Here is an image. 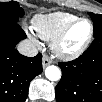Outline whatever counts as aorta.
Instances as JSON below:
<instances>
[{"label": "aorta", "mask_w": 102, "mask_h": 102, "mask_svg": "<svg viewBox=\"0 0 102 102\" xmlns=\"http://www.w3.org/2000/svg\"><path fill=\"white\" fill-rule=\"evenodd\" d=\"M45 76L50 81H58L61 78V71L57 66L50 65L45 70Z\"/></svg>", "instance_id": "1"}]
</instances>
